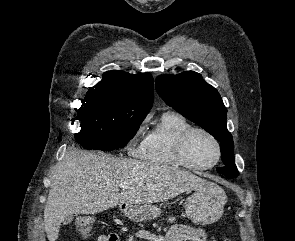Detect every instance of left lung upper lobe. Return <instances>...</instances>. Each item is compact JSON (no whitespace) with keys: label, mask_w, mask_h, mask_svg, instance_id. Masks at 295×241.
I'll use <instances>...</instances> for the list:
<instances>
[{"label":"left lung upper lobe","mask_w":295,"mask_h":241,"mask_svg":"<svg viewBox=\"0 0 295 241\" xmlns=\"http://www.w3.org/2000/svg\"><path fill=\"white\" fill-rule=\"evenodd\" d=\"M155 87L167 105L201 126L220 142L225 166L218 167L217 171L230 177L237 176L234 143L226 127L227 109L218 91L194 71L158 76Z\"/></svg>","instance_id":"5c2ea615"}]
</instances>
